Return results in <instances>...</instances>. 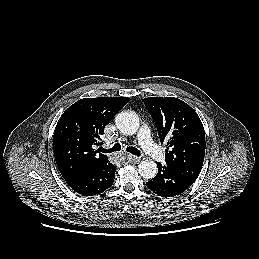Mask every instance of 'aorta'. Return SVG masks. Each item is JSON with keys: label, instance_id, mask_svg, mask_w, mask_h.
I'll list each match as a JSON object with an SVG mask.
<instances>
[{"label": "aorta", "instance_id": "obj_1", "mask_svg": "<svg viewBox=\"0 0 259 259\" xmlns=\"http://www.w3.org/2000/svg\"><path fill=\"white\" fill-rule=\"evenodd\" d=\"M115 123L119 131L125 135H133L139 128V118L131 111L118 113ZM138 172L143 178L152 179L157 174V165L154 161L145 159L138 165Z\"/></svg>", "mask_w": 259, "mask_h": 259}]
</instances>
